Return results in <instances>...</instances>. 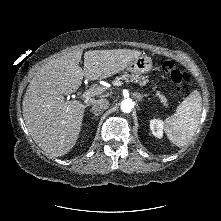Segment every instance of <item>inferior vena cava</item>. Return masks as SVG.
Returning a JSON list of instances; mask_svg holds the SVG:
<instances>
[{"label":"inferior vena cava","mask_w":221,"mask_h":221,"mask_svg":"<svg viewBox=\"0 0 221 221\" xmlns=\"http://www.w3.org/2000/svg\"><path fill=\"white\" fill-rule=\"evenodd\" d=\"M109 107V101L105 98H101L92 102V110L95 112H102Z\"/></svg>","instance_id":"1"}]
</instances>
